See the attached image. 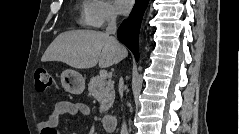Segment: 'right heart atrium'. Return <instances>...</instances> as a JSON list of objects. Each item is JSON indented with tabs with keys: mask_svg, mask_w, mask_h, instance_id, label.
<instances>
[{
	"mask_svg": "<svg viewBox=\"0 0 239 134\" xmlns=\"http://www.w3.org/2000/svg\"><path fill=\"white\" fill-rule=\"evenodd\" d=\"M85 17L88 25L96 28L104 27L117 18L113 4L105 0H90L87 2Z\"/></svg>",
	"mask_w": 239,
	"mask_h": 134,
	"instance_id": "d8ad5b80",
	"label": "right heart atrium"
}]
</instances>
